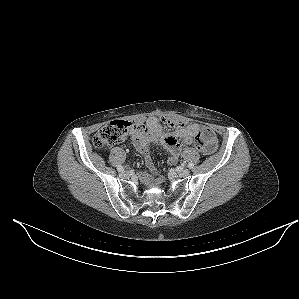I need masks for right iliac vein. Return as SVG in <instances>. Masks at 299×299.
Returning a JSON list of instances; mask_svg holds the SVG:
<instances>
[{"mask_svg":"<svg viewBox=\"0 0 299 299\" xmlns=\"http://www.w3.org/2000/svg\"><path fill=\"white\" fill-rule=\"evenodd\" d=\"M120 176L122 178H128L129 177V173L128 172H122V173H120Z\"/></svg>","mask_w":299,"mask_h":299,"instance_id":"63e3f726","label":"right iliac vein"}]
</instances>
